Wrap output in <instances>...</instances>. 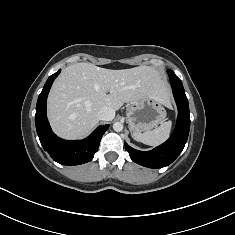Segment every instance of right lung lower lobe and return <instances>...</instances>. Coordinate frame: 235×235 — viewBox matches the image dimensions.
<instances>
[{
	"label": "right lung lower lobe",
	"mask_w": 235,
	"mask_h": 235,
	"mask_svg": "<svg viewBox=\"0 0 235 235\" xmlns=\"http://www.w3.org/2000/svg\"><path fill=\"white\" fill-rule=\"evenodd\" d=\"M60 71L48 78L38 97L35 114L36 130L44 150L54 161L67 166L80 165L93 159L109 125L99 126L89 137L80 141L63 140L52 133L46 117V101L51 85Z\"/></svg>",
	"instance_id": "right-lung-lower-lobe-1"
}]
</instances>
